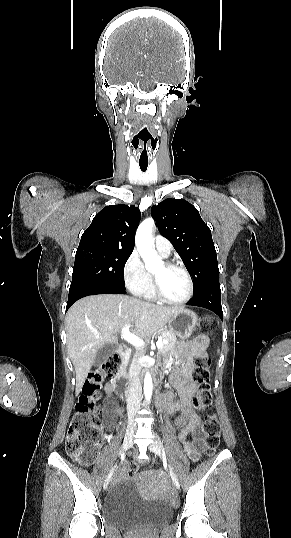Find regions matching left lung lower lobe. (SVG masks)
Segmentation results:
<instances>
[{
  "mask_svg": "<svg viewBox=\"0 0 291 538\" xmlns=\"http://www.w3.org/2000/svg\"><path fill=\"white\" fill-rule=\"evenodd\" d=\"M187 305L207 308L216 313L221 319H223V311L221 307V290L219 282L213 283L205 290L200 292L198 295L193 296V298L187 303Z\"/></svg>",
  "mask_w": 291,
  "mask_h": 538,
  "instance_id": "0a47b994",
  "label": "left lung lower lobe"
}]
</instances>
